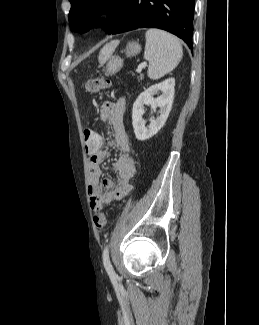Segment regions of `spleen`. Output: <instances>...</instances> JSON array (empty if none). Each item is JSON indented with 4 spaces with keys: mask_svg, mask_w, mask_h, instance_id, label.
Listing matches in <instances>:
<instances>
[{
    "mask_svg": "<svg viewBox=\"0 0 259 325\" xmlns=\"http://www.w3.org/2000/svg\"><path fill=\"white\" fill-rule=\"evenodd\" d=\"M145 38L144 59L149 62L148 77L157 80L177 67L183 49L177 37L160 29L147 30Z\"/></svg>",
    "mask_w": 259,
    "mask_h": 325,
    "instance_id": "3e777b00",
    "label": "spleen"
}]
</instances>
